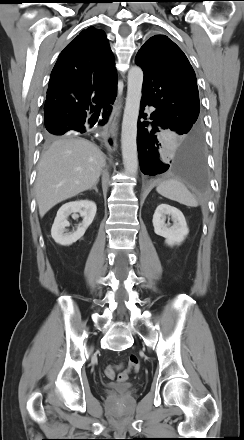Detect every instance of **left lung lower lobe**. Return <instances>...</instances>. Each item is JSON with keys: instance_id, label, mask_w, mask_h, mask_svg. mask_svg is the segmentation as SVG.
<instances>
[{"instance_id": "0a47b994", "label": "left lung lower lobe", "mask_w": 244, "mask_h": 440, "mask_svg": "<svg viewBox=\"0 0 244 440\" xmlns=\"http://www.w3.org/2000/svg\"><path fill=\"white\" fill-rule=\"evenodd\" d=\"M146 105L151 104L141 99L139 119H146L147 115L143 113ZM150 119L152 122L138 120L137 147L141 171L154 176L169 170L180 175L194 188H202L206 176L202 132L187 136L180 148L171 153L159 132L165 129L175 132V129L158 110L151 113Z\"/></svg>"}]
</instances>
